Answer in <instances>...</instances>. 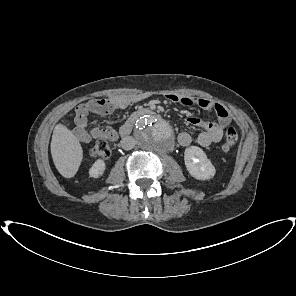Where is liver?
Here are the masks:
<instances>
[{
	"label": "liver",
	"mask_w": 296,
	"mask_h": 296,
	"mask_svg": "<svg viewBox=\"0 0 296 296\" xmlns=\"http://www.w3.org/2000/svg\"><path fill=\"white\" fill-rule=\"evenodd\" d=\"M50 148L58 172L65 178L73 177L83 158V150L76 136L63 124H57Z\"/></svg>",
	"instance_id": "obj_1"
}]
</instances>
